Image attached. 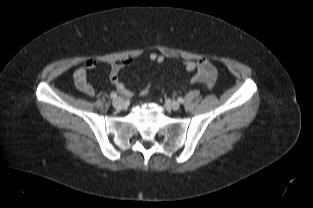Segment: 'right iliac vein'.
<instances>
[{"label": "right iliac vein", "instance_id": "obj_1", "mask_svg": "<svg viewBox=\"0 0 313 208\" xmlns=\"http://www.w3.org/2000/svg\"><path fill=\"white\" fill-rule=\"evenodd\" d=\"M113 106L117 110H121L124 107V101L122 98L118 97L115 98L112 102Z\"/></svg>", "mask_w": 313, "mask_h": 208}]
</instances>
